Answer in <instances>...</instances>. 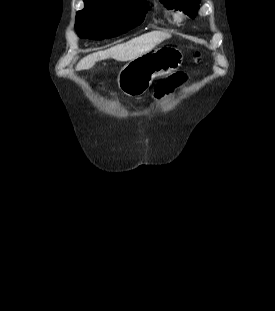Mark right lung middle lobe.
<instances>
[{"instance_id":"1","label":"right lung middle lobe","mask_w":275,"mask_h":311,"mask_svg":"<svg viewBox=\"0 0 275 311\" xmlns=\"http://www.w3.org/2000/svg\"><path fill=\"white\" fill-rule=\"evenodd\" d=\"M148 10L145 0L92 2L77 12L75 28L81 38H110L142 23Z\"/></svg>"}]
</instances>
